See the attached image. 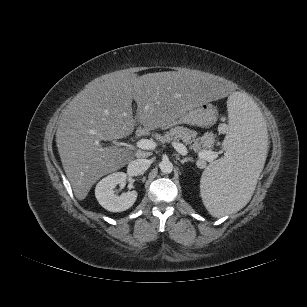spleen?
Segmentation results:
<instances>
[{"label":"spleen","instance_id":"obj_1","mask_svg":"<svg viewBox=\"0 0 307 307\" xmlns=\"http://www.w3.org/2000/svg\"><path fill=\"white\" fill-rule=\"evenodd\" d=\"M229 133L225 156L209 165L200 180L208 212L222 217L243 208L251 199L267 156L269 133L257 105L240 91L227 100Z\"/></svg>","mask_w":307,"mask_h":307}]
</instances>
